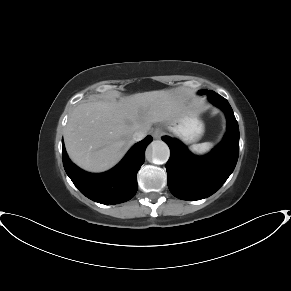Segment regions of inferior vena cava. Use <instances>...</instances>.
Returning <instances> with one entry per match:
<instances>
[{
    "instance_id": "obj_1",
    "label": "inferior vena cava",
    "mask_w": 291,
    "mask_h": 291,
    "mask_svg": "<svg viewBox=\"0 0 291 291\" xmlns=\"http://www.w3.org/2000/svg\"><path fill=\"white\" fill-rule=\"evenodd\" d=\"M146 137V132L144 131H136L133 134V140L134 141H141L142 139H144Z\"/></svg>"
}]
</instances>
